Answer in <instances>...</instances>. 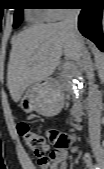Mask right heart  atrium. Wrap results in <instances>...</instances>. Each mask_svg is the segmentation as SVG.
Instances as JSON below:
<instances>
[{
  "label": "right heart atrium",
  "mask_w": 104,
  "mask_h": 169,
  "mask_svg": "<svg viewBox=\"0 0 104 169\" xmlns=\"http://www.w3.org/2000/svg\"><path fill=\"white\" fill-rule=\"evenodd\" d=\"M51 10V20H63L74 12V9L54 8Z\"/></svg>",
  "instance_id": "d8ad5b80"
}]
</instances>
